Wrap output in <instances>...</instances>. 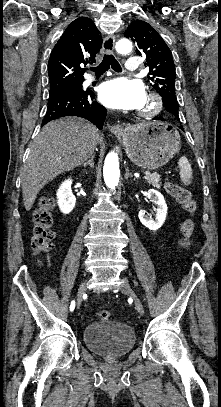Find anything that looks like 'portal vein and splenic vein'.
Masks as SVG:
<instances>
[{"label":"portal vein and splenic vein","instance_id":"portal-vein-and-splenic-vein-1","mask_svg":"<svg viewBox=\"0 0 221 407\" xmlns=\"http://www.w3.org/2000/svg\"><path fill=\"white\" fill-rule=\"evenodd\" d=\"M149 174H150V172H148V171L144 172V175H145V176H147V175H149Z\"/></svg>","mask_w":221,"mask_h":407}]
</instances>
